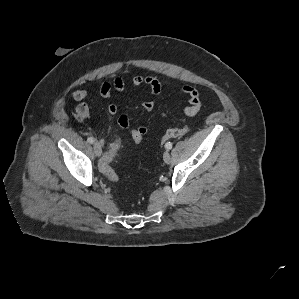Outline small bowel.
Wrapping results in <instances>:
<instances>
[{"label":"small bowel","mask_w":299,"mask_h":299,"mask_svg":"<svg viewBox=\"0 0 299 299\" xmlns=\"http://www.w3.org/2000/svg\"><path fill=\"white\" fill-rule=\"evenodd\" d=\"M131 84L133 87L138 88L142 85H147L151 90L153 95H160L162 92V83L153 76L148 75H136L132 78ZM167 85H171L167 83ZM125 89V81L121 77H116L112 82H104L100 87V95L103 99H110L112 92L118 91L122 92ZM182 93H184L189 104L185 106L182 110V118H188L195 116L202 109V102L199 99L198 92L195 88L185 85L178 88ZM72 98L78 102L76 107V116L79 120H85L90 115L89 101H91V96L85 90L78 89L72 93ZM142 106L145 110L151 111L156 106L155 100H145L142 102ZM118 108L115 104H109L107 107L106 118L107 121L112 122L117 115ZM118 125L123 129H128L130 126V119L127 114L119 115L117 119ZM145 133L147 132L146 127L138 126ZM103 142V140H101Z\"/></svg>","instance_id":"c3829d8e"}]
</instances>
